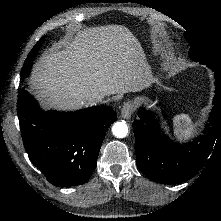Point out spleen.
Listing matches in <instances>:
<instances>
[{
    "label": "spleen",
    "instance_id": "spleen-1",
    "mask_svg": "<svg viewBox=\"0 0 221 221\" xmlns=\"http://www.w3.org/2000/svg\"><path fill=\"white\" fill-rule=\"evenodd\" d=\"M174 133L181 137H189L192 134V121L188 114H178L173 117Z\"/></svg>",
    "mask_w": 221,
    "mask_h": 221
}]
</instances>
